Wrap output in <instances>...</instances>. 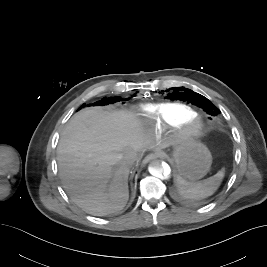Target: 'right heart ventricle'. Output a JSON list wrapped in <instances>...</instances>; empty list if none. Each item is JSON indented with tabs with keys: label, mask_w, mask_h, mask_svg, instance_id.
I'll return each mask as SVG.
<instances>
[{
	"label": "right heart ventricle",
	"mask_w": 267,
	"mask_h": 267,
	"mask_svg": "<svg viewBox=\"0 0 267 267\" xmlns=\"http://www.w3.org/2000/svg\"><path fill=\"white\" fill-rule=\"evenodd\" d=\"M133 115L148 120L153 128L161 129L166 126L177 125L196 113L186 104L167 102L142 106Z\"/></svg>",
	"instance_id": "1"
}]
</instances>
